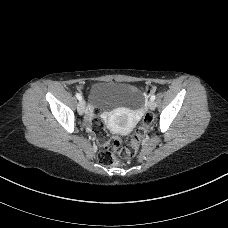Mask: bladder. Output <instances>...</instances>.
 Masks as SVG:
<instances>
[{
  "mask_svg": "<svg viewBox=\"0 0 228 228\" xmlns=\"http://www.w3.org/2000/svg\"><path fill=\"white\" fill-rule=\"evenodd\" d=\"M92 108L111 110L117 107L138 109L143 102L142 91L131 84L100 82L94 84L89 92Z\"/></svg>",
  "mask_w": 228,
  "mask_h": 228,
  "instance_id": "31cf9c89",
  "label": "bladder"
}]
</instances>
